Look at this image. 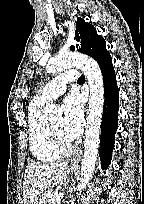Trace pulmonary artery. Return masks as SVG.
Returning a JSON list of instances; mask_svg holds the SVG:
<instances>
[{"label":"pulmonary artery","mask_w":144,"mask_h":204,"mask_svg":"<svg viewBox=\"0 0 144 204\" xmlns=\"http://www.w3.org/2000/svg\"><path fill=\"white\" fill-rule=\"evenodd\" d=\"M76 77L77 72L73 70L67 71L55 77L53 80L47 83L39 92L37 100L42 103H47L59 97L66 91L67 84L75 80Z\"/></svg>","instance_id":"e3ab8cb5"}]
</instances>
